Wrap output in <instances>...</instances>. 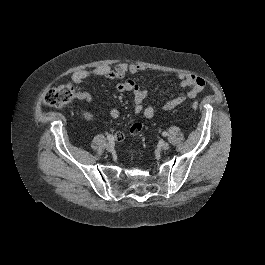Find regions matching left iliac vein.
<instances>
[{
	"label": "left iliac vein",
	"instance_id": "4c4485c4",
	"mask_svg": "<svg viewBox=\"0 0 265 265\" xmlns=\"http://www.w3.org/2000/svg\"><path fill=\"white\" fill-rule=\"evenodd\" d=\"M161 148L163 150H168L170 148V145L168 143H166V142H163L162 145H161Z\"/></svg>",
	"mask_w": 265,
	"mask_h": 265
}]
</instances>
